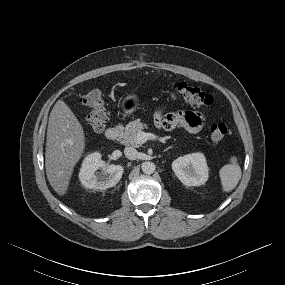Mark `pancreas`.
<instances>
[{
    "label": "pancreas",
    "mask_w": 285,
    "mask_h": 285,
    "mask_svg": "<svg viewBox=\"0 0 285 285\" xmlns=\"http://www.w3.org/2000/svg\"><path fill=\"white\" fill-rule=\"evenodd\" d=\"M146 127V124L142 123L139 119L129 122L123 132L120 135V141L123 145L138 147L136 142L137 134Z\"/></svg>",
    "instance_id": "pancreas-1"
}]
</instances>
